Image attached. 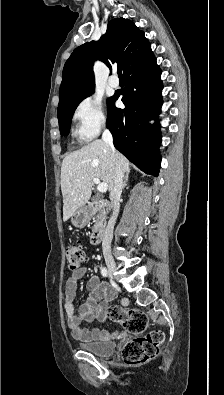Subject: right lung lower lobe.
Here are the masks:
<instances>
[{
  "mask_svg": "<svg viewBox=\"0 0 224 395\" xmlns=\"http://www.w3.org/2000/svg\"><path fill=\"white\" fill-rule=\"evenodd\" d=\"M160 75L161 70L150 50L124 72L126 86L111 97L107 117L116 149L154 176L159 172L161 136L159 124H149V121L158 118L162 105ZM120 95H123L124 109L115 107Z\"/></svg>",
  "mask_w": 224,
  "mask_h": 395,
  "instance_id": "98d812e1",
  "label": "right lung lower lobe"
}]
</instances>
